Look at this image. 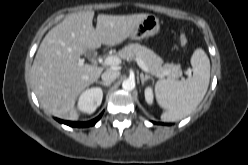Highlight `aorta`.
I'll use <instances>...</instances> for the list:
<instances>
[{
  "instance_id": "762f6f07",
  "label": "aorta",
  "mask_w": 248,
  "mask_h": 165,
  "mask_svg": "<svg viewBox=\"0 0 248 165\" xmlns=\"http://www.w3.org/2000/svg\"><path fill=\"white\" fill-rule=\"evenodd\" d=\"M122 88L127 91H131L135 88V80L134 79H126L122 83Z\"/></svg>"
}]
</instances>
